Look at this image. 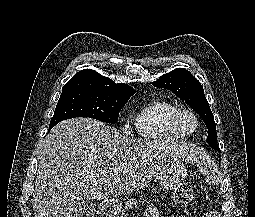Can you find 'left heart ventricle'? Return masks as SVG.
<instances>
[{
	"mask_svg": "<svg viewBox=\"0 0 255 217\" xmlns=\"http://www.w3.org/2000/svg\"><path fill=\"white\" fill-rule=\"evenodd\" d=\"M185 126L188 128V129H192L194 127V123L192 120L190 119H186L185 120Z\"/></svg>",
	"mask_w": 255,
	"mask_h": 217,
	"instance_id": "b2bd125f",
	"label": "left heart ventricle"
}]
</instances>
